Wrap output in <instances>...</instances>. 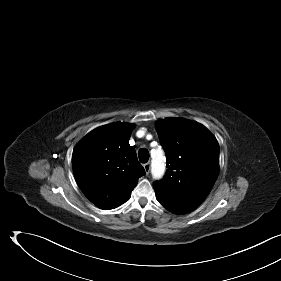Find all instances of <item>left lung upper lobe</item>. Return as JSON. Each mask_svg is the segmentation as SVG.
<instances>
[{
  "mask_svg": "<svg viewBox=\"0 0 281 281\" xmlns=\"http://www.w3.org/2000/svg\"><path fill=\"white\" fill-rule=\"evenodd\" d=\"M156 131L168 167L164 179L153 184L156 196L200 205L219 173L216 138L202 124L179 118L158 121Z\"/></svg>",
  "mask_w": 281,
  "mask_h": 281,
  "instance_id": "1",
  "label": "left lung upper lobe"
}]
</instances>
